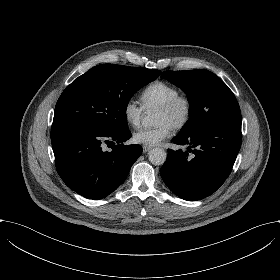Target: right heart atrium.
I'll use <instances>...</instances> for the list:
<instances>
[{"instance_id": "obj_1", "label": "right heart atrium", "mask_w": 280, "mask_h": 280, "mask_svg": "<svg viewBox=\"0 0 280 280\" xmlns=\"http://www.w3.org/2000/svg\"><path fill=\"white\" fill-rule=\"evenodd\" d=\"M144 109L145 108L141 105H138L135 100H126L123 104V115L125 120L133 126L138 125Z\"/></svg>"}]
</instances>
